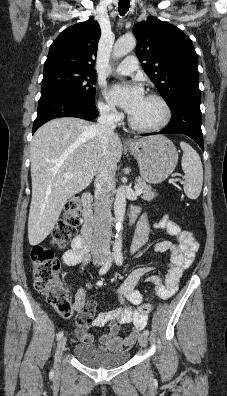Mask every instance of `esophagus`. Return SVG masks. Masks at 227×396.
<instances>
[{
	"instance_id": "34e87169",
	"label": "esophagus",
	"mask_w": 227,
	"mask_h": 396,
	"mask_svg": "<svg viewBox=\"0 0 227 396\" xmlns=\"http://www.w3.org/2000/svg\"><path fill=\"white\" fill-rule=\"evenodd\" d=\"M125 144L131 145V144H133V140L131 138H126L125 139Z\"/></svg>"
}]
</instances>
